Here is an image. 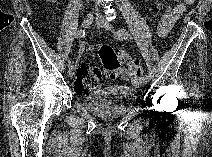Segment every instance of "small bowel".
Returning a JSON list of instances; mask_svg holds the SVG:
<instances>
[{
	"instance_id": "c3829d8e",
	"label": "small bowel",
	"mask_w": 212,
	"mask_h": 157,
	"mask_svg": "<svg viewBox=\"0 0 212 157\" xmlns=\"http://www.w3.org/2000/svg\"><path fill=\"white\" fill-rule=\"evenodd\" d=\"M183 10H184V6L179 5L161 19L159 24V32L162 37H165L169 33L175 21L182 14ZM92 50H93V47L86 46L84 44L80 45V48H79L80 54H86L88 52H91ZM79 66L88 67V64L86 62H82ZM132 80L136 82L137 78H133Z\"/></svg>"
}]
</instances>
